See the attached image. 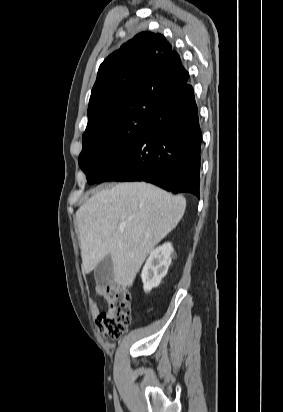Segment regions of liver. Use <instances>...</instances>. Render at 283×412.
<instances>
[{
	"instance_id": "liver-1",
	"label": "liver",
	"mask_w": 283,
	"mask_h": 412,
	"mask_svg": "<svg viewBox=\"0 0 283 412\" xmlns=\"http://www.w3.org/2000/svg\"><path fill=\"white\" fill-rule=\"evenodd\" d=\"M185 208L184 197L144 182L97 192L76 212L83 273L109 255L115 282L132 286L147 255L177 226Z\"/></svg>"
}]
</instances>
